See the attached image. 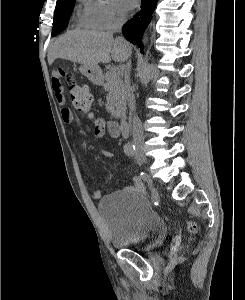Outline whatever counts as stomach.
<instances>
[{
	"mask_svg": "<svg viewBox=\"0 0 245 300\" xmlns=\"http://www.w3.org/2000/svg\"><path fill=\"white\" fill-rule=\"evenodd\" d=\"M80 72L85 75L91 81H98L100 78V69L99 67H91L82 65L79 67Z\"/></svg>",
	"mask_w": 245,
	"mask_h": 300,
	"instance_id": "stomach-1",
	"label": "stomach"
}]
</instances>
